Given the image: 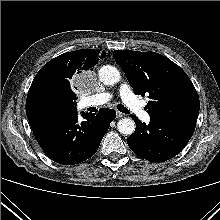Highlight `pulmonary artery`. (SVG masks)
Instances as JSON below:
<instances>
[{
  "mask_svg": "<svg viewBox=\"0 0 220 220\" xmlns=\"http://www.w3.org/2000/svg\"><path fill=\"white\" fill-rule=\"evenodd\" d=\"M122 101L136 116L142 121L148 122L150 116L144 108L143 103L134 95L131 88L127 84H122L119 88ZM112 98V94L105 92L96 94L88 99L90 105H98L108 102Z\"/></svg>",
  "mask_w": 220,
  "mask_h": 220,
  "instance_id": "e3ab8cb5",
  "label": "pulmonary artery"
}]
</instances>
